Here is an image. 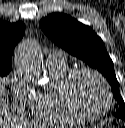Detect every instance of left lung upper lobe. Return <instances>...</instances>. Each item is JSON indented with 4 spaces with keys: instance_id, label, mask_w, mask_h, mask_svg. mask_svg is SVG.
Masks as SVG:
<instances>
[{
    "instance_id": "5c2ea615",
    "label": "left lung upper lobe",
    "mask_w": 125,
    "mask_h": 128,
    "mask_svg": "<svg viewBox=\"0 0 125 128\" xmlns=\"http://www.w3.org/2000/svg\"><path fill=\"white\" fill-rule=\"evenodd\" d=\"M42 31L59 47L96 68L108 80L113 95L121 108L115 116L125 120V103L119 93V84L113 62L102 39L89 27L66 14L53 13L42 18Z\"/></svg>"
}]
</instances>
